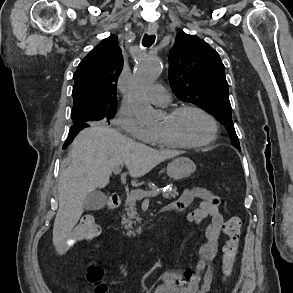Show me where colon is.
<instances>
[{
	"mask_svg": "<svg viewBox=\"0 0 293 293\" xmlns=\"http://www.w3.org/2000/svg\"><path fill=\"white\" fill-rule=\"evenodd\" d=\"M223 232L226 236V241L222 253V271L227 276L230 274L237 257L241 220L237 217L228 219L223 226ZM99 235L100 227L97 218L92 214H87L79 220L69 235L57 246V249L63 252L78 243L94 240ZM87 279L93 285L94 293H107L108 288L104 283V271L101 266L91 263L87 268Z\"/></svg>",
	"mask_w": 293,
	"mask_h": 293,
	"instance_id": "colon-1",
	"label": "colon"
}]
</instances>
